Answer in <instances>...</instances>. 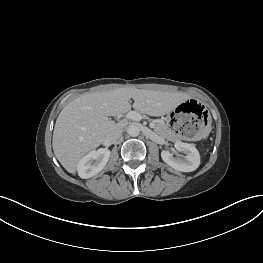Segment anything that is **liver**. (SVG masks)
<instances>
[{
    "label": "liver",
    "instance_id": "1",
    "mask_svg": "<svg viewBox=\"0 0 263 263\" xmlns=\"http://www.w3.org/2000/svg\"><path fill=\"white\" fill-rule=\"evenodd\" d=\"M132 107L151 116H163L189 97L181 92H160L122 87L105 92L85 93L68 103L60 112L53 131V151L61 165L76 172L80 159L97 148L116 126L108 116Z\"/></svg>",
    "mask_w": 263,
    "mask_h": 263
}]
</instances>
